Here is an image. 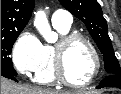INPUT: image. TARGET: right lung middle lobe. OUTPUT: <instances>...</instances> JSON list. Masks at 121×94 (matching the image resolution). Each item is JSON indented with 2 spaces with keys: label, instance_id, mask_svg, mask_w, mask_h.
<instances>
[{
  "label": "right lung middle lobe",
  "instance_id": "1",
  "mask_svg": "<svg viewBox=\"0 0 121 94\" xmlns=\"http://www.w3.org/2000/svg\"><path fill=\"white\" fill-rule=\"evenodd\" d=\"M21 31L22 30L1 33V74L17 75L9 55L11 54L12 46Z\"/></svg>",
  "mask_w": 121,
  "mask_h": 94
}]
</instances>
